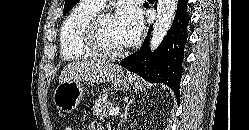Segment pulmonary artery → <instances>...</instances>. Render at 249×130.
Here are the masks:
<instances>
[{"instance_id":"e3ab8cb5","label":"pulmonary artery","mask_w":249,"mask_h":130,"mask_svg":"<svg viewBox=\"0 0 249 130\" xmlns=\"http://www.w3.org/2000/svg\"><path fill=\"white\" fill-rule=\"evenodd\" d=\"M92 3L97 5L98 7L102 8L105 4L106 0H90Z\"/></svg>"}]
</instances>
